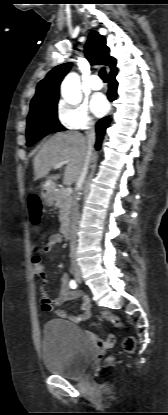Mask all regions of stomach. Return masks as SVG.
<instances>
[{"label": "stomach", "instance_id": "stomach-1", "mask_svg": "<svg viewBox=\"0 0 168 415\" xmlns=\"http://www.w3.org/2000/svg\"><path fill=\"white\" fill-rule=\"evenodd\" d=\"M54 192L53 191H51V190H49V189H45L44 191H43V193H42V197H43V199H44V201H45V203L48 205V206H51L52 204H53V201H54Z\"/></svg>", "mask_w": 168, "mask_h": 415}]
</instances>
